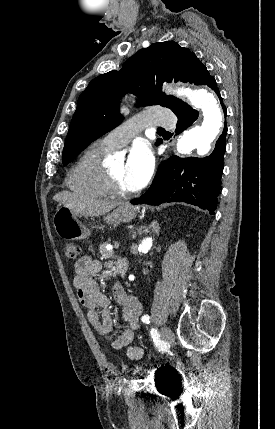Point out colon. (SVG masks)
Returning a JSON list of instances; mask_svg holds the SVG:
<instances>
[{"mask_svg":"<svg viewBox=\"0 0 275 429\" xmlns=\"http://www.w3.org/2000/svg\"><path fill=\"white\" fill-rule=\"evenodd\" d=\"M64 255L68 261H75L80 255V248L78 245L67 242L64 245ZM118 377V371L114 366H109L107 369V379L109 382H115Z\"/></svg>","mask_w":275,"mask_h":429,"instance_id":"colon-1","label":"colon"}]
</instances>
